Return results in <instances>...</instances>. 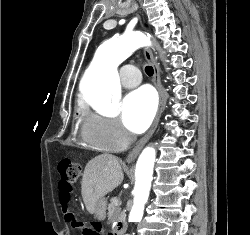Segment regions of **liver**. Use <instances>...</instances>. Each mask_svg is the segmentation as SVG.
I'll use <instances>...</instances> for the list:
<instances>
[{
    "label": "liver",
    "mask_w": 250,
    "mask_h": 235,
    "mask_svg": "<svg viewBox=\"0 0 250 235\" xmlns=\"http://www.w3.org/2000/svg\"><path fill=\"white\" fill-rule=\"evenodd\" d=\"M123 178L124 174L117 157L102 154L90 160L81 182V194L87 211L93 214L98 200L117 188Z\"/></svg>",
    "instance_id": "obj_1"
}]
</instances>
